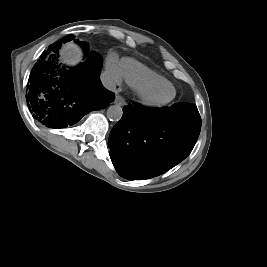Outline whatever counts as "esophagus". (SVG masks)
<instances>
[{"mask_svg": "<svg viewBox=\"0 0 267 267\" xmlns=\"http://www.w3.org/2000/svg\"><path fill=\"white\" fill-rule=\"evenodd\" d=\"M114 103L120 106H124L126 104V101L120 95H117Z\"/></svg>", "mask_w": 267, "mask_h": 267, "instance_id": "1", "label": "esophagus"}]
</instances>
